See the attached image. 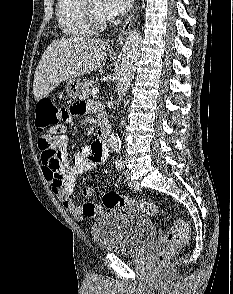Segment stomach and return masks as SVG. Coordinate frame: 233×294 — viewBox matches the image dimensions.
Listing matches in <instances>:
<instances>
[{"label":"stomach","instance_id":"obj_1","mask_svg":"<svg viewBox=\"0 0 233 294\" xmlns=\"http://www.w3.org/2000/svg\"><path fill=\"white\" fill-rule=\"evenodd\" d=\"M81 88L80 79L72 78L66 81V93L69 98L78 99L81 95Z\"/></svg>","mask_w":233,"mask_h":294}]
</instances>
